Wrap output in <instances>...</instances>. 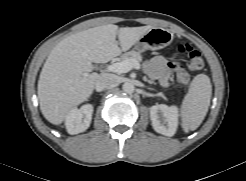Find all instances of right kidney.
Returning <instances> with one entry per match:
<instances>
[{"label":"right kidney","instance_id":"obj_1","mask_svg":"<svg viewBox=\"0 0 246 181\" xmlns=\"http://www.w3.org/2000/svg\"><path fill=\"white\" fill-rule=\"evenodd\" d=\"M93 106L85 104L80 109L73 108L65 118L67 132L71 135L84 132L90 126Z\"/></svg>","mask_w":246,"mask_h":181}]
</instances>
